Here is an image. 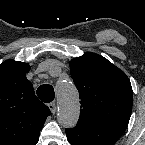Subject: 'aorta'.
I'll list each match as a JSON object with an SVG mask.
<instances>
[{
  "label": "aorta",
  "instance_id": "1",
  "mask_svg": "<svg viewBox=\"0 0 145 145\" xmlns=\"http://www.w3.org/2000/svg\"><path fill=\"white\" fill-rule=\"evenodd\" d=\"M58 122L66 128L73 127L78 119L80 108L76 88L70 81H61L57 86Z\"/></svg>",
  "mask_w": 145,
  "mask_h": 145
}]
</instances>
